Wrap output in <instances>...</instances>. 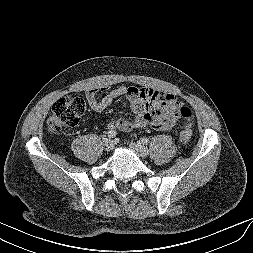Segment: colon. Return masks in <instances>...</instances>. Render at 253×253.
Segmentation results:
<instances>
[{
    "mask_svg": "<svg viewBox=\"0 0 253 253\" xmlns=\"http://www.w3.org/2000/svg\"><path fill=\"white\" fill-rule=\"evenodd\" d=\"M85 107V102L80 97L65 96L58 99L54 103L48 119L49 131L52 133H60L74 127L80 121ZM181 114L185 120L192 118L190 109H183ZM191 137L192 132L186 126L181 132L180 138L184 143H187Z\"/></svg>",
    "mask_w": 253,
    "mask_h": 253,
    "instance_id": "colon-1",
    "label": "colon"
}]
</instances>
